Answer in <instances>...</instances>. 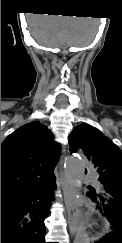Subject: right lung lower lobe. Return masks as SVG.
I'll list each match as a JSON object with an SVG mask.
<instances>
[{
  "instance_id": "right-lung-lower-lobe-1",
  "label": "right lung lower lobe",
  "mask_w": 122,
  "mask_h": 243,
  "mask_svg": "<svg viewBox=\"0 0 122 243\" xmlns=\"http://www.w3.org/2000/svg\"><path fill=\"white\" fill-rule=\"evenodd\" d=\"M54 174L1 195V243H45Z\"/></svg>"
}]
</instances>
